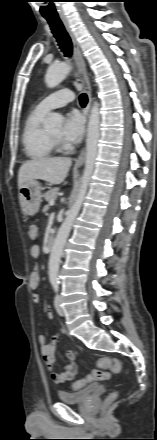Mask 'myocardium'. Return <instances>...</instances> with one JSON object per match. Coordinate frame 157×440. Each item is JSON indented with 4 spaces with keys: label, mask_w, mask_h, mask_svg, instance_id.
<instances>
[{
    "label": "myocardium",
    "mask_w": 157,
    "mask_h": 440,
    "mask_svg": "<svg viewBox=\"0 0 157 440\" xmlns=\"http://www.w3.org/2000/svg\"><path fill=\"white\" fill-rule=\"evenodd\" d=\"M49 137L55 146H59L61 144L60 138L52 135L50 131H48Z\"/></svg>",
    "instance_id": "obj_1"
}]
</instances>
